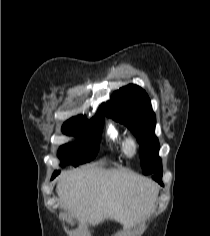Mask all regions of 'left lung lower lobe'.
<instances>
[{"label":"left lung lower lobe","instance_id":"left-lung-lower-lobe-1","mask_svg":"<svg viewBox=\"0 0 210 236\" xmlns=\"http://www.w3.org/2000/svg\"><path fill=\"white\" fill-rule=\"evenodd\" d=\"M161 177H162V168H160L157 172L153 174V179L163 186Z\"/></svg>","mask_w":210,"mask_h":236}]
</instances>
